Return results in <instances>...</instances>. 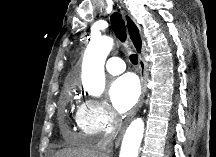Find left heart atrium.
<instances>
[{
    "label": "left heart atrium",
    "instance_id": "left-heart-atrium-1",
    "mask_svg": "<svg viewBox=\"0 0 216 157\" xmlns=\"http://www.w3.org/2000/svg\"><path fill=\"white\" fill-rule=\"evenodd\" d=\"M139 95V83L132 74H126L117 78L109 89L110 100L119 113H126L131 110L136 104Z\"/></svg>",
    "mask_w": 216,
    "mask_h": 157
}]
</instances>
